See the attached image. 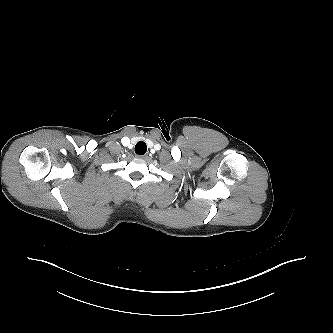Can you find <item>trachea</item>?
<instances>
[{"label": "trachea", "instance_id": "obj_1", "mask_svg": "<svg viewBox=\"0 0 333 333\" xmlns=\"http://www.w3.org/2000/svg\"><path fill=\"white\" fill-rule=\"evenodd\" d=\"M147 151V145L145 142L143 141H139L136 145H135V153L138 155H144Z\"/></svg>", "mask_w": 333, "mask_h": 333}]
</instances>
